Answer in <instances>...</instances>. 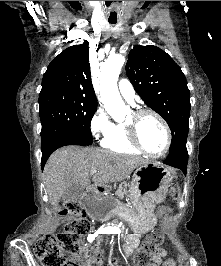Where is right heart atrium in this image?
<instances>
[{
	"instance_id": "obj_1",
	"label": "right heart atrium",
	"mask_w": 221,
	"mask_h": 266,
	"mask_svg": "<svg viewBox=\"0 0 221 266\" xmlns=\"http://www.w3.org/2000/svg\"><path fill=\"white\" fill-rule=\"evenodd\" d=\"M112 125L113 123L104 108L99 107L90 121L91 134L96 139L104 138L110 132Z\"/></svg>"
}]
</instances>
